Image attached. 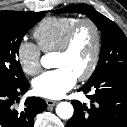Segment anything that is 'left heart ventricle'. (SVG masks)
Instances as JSON below:
<instances>
[{"mask_svg":"<svg viewBox=\"0 0 127 127\" xmlns=\"http://www.w3.org/2000/svg\"><path fill=\"white\" fill-rule=\"evenodd\" d=\"M94 49V35L90 27L83 26L76 34L66 54L54 56V67H66L76 76L82 74L89 66Z\"/></svg>","mask_w":127,"mask_h":127,"instance_id":"left-heart-ventricle-1","label":"left heart ventricle"}]
</instances>
